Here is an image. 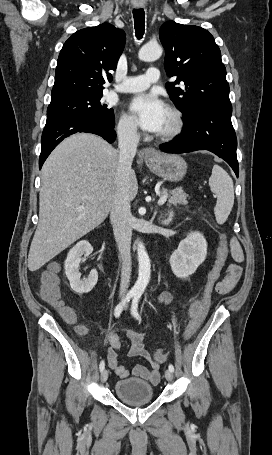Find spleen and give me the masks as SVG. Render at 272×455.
<instances>
[{
  "instance_id": "3e777b00",
  "label": "spleen",
  "mask_w": 272,
  "mask_h": 455,
  "mask_svg": "<svg viewBox=\"0 0 272 455\" xmlns=\"http://www.w3.org/2000/svg\"><path fill=\"white\" fill-rule=\"evenodd\" d=\"M211 191L217 196L214 213L218 224H223L234 204L233 181L228 173L219 165H214L209 179Z\"/></svg>"
}]
</instances>
